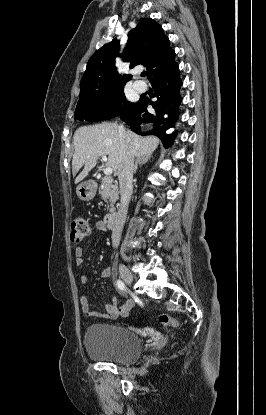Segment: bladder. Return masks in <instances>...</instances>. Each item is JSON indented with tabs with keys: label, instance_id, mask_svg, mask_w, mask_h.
<instances>
[{
	"label": "bladder",
	"instance_id": "1",
	"mask_svg": "<svg viewBox=\"0 0 266 415\" xmlns=\"http://www.w3.org/2000/svg\"><path fill=\"white\" fill-rule=\"evenodd\" d=\"M84 346L92 359L116 364L137 361L143 347L140 339L131 330L109 323H94L84 335Z\"/></svg>",
	"mask_w": 266,
	"mask_h": 415
}]
</instances>
